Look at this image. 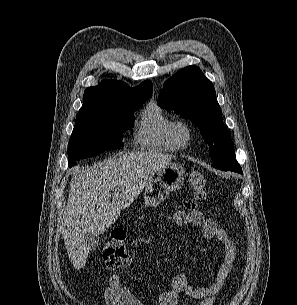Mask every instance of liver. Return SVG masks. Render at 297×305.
I'll return each mask as SVG.
<instances>
[{"label": "liver", "mask_w": 297, "mask_h": 305, "mask_svg": "<svg viewBox=\"0 0 297 305\" xmlns=\"http://www.w3.org/2000/svg\"><path fill=\"white\" fill-rule=\"evenodd\" d=\"M172 159V155L156 151L130 152L73 175L61 229L76 270L85 265L89 254L83 235L106 231L121 210L134 202L152 176Z\"/></svg>", "instance_id": "obj_1"}]
</instances>
